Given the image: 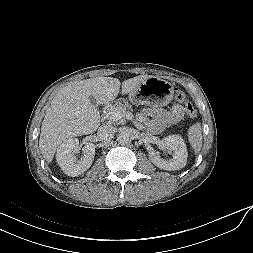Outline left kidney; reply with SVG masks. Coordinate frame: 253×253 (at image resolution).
<instances>
[{"mask_svg":"<svg viewBox=\"0 0 253 253\" xmlns=\"http://www.w3.org/2000/svg\"><path fill=\"white\" fill-rule=\"evenodd\" d=\"M162 145L173 151L172 159L165 160L158 154H150L149 158L158 168L168 171L179 170L185 167L187 163V148L183 138L180 135H170L162 140Z\"/></svg>","mask_w":253,"mask_h":253,"instance_id":"1","label":"left kidney"}]
</instances>
